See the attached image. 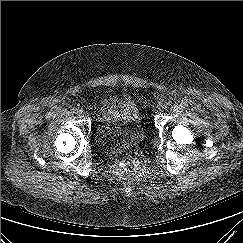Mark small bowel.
Masks as SVG:
<instances>
[{
  "label": "small bowel",
  "instance_id": "c3829d8e",
  "mask_svg": "<svg viewBox=\"0 0 243 243\" xmlns=\"http://www.w3.org/2000/svg\"><path fill=\"white\" fill-rule=\"evenodd\" d=\"M116 97H110L108 99L103 100L102 106H103V111L106 115L115 117L118 113L117 108H116Z\"/></svg>",
  "mask_w": 243,
  "mask_h": 243
}]
</instances>
